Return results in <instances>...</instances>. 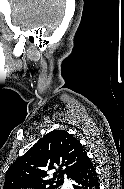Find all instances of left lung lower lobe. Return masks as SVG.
I'll return each mask as SVG.
<instances>
[{
    "label": "left lung lower lobe",
    "mask_w": 124,
    "mask_h": 189,
    "mask_svg": "<svg viewBox=\"0 0 124 189\" xmlns=\"http://www.w3.org/2000/svg\"><path fill=\"white\" fill-rule=\"evenodd\" d=\"M72 180L74 189H99V181L95 170V165L90 158H87L81 170L77 172Z\"/></svg>",
    "instance_id": "obj_1"
}]
</instances>
